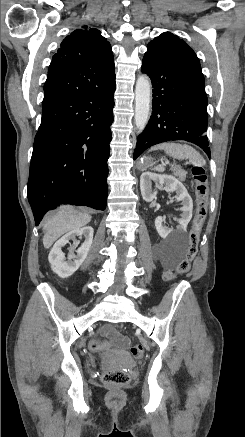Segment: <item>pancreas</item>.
<instances>
[{
  "label": "pancreas",
  "instance_id": "cf45deb5",
  "mask_svg": "<svg viewBox=\"0 0 245 437\" xmlns=\"http://www.w3.org/2000/svg\"><path fill=\"white\" fill-rule=\"evenodd\" d=\"M187 172L181 168L174 169V175L179 178L181 181H185Z\"/></svg>",
  "mask_w": 245,
  "mask_h": 437
}]
</instances>
